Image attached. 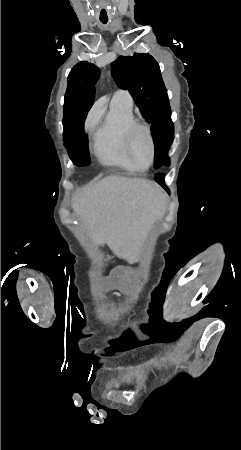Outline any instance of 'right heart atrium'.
<instances>
[{"label":"right heart atrium","instance_id":"d8ad5b80","mask_svg":"<svg viewBox=\"0 0 241 450\" xmlns=\"http://www.w3.org/2000/svg\"><path fill=\"white\" fill-rule=\"evenodd\" d=\"M98 123H99V118L97 116H90L88 118V122L86 123V128L88 130H93L95 128V125H97Z\"/></svg>","mask_w":241,"mask_h":450}]
</instances>
